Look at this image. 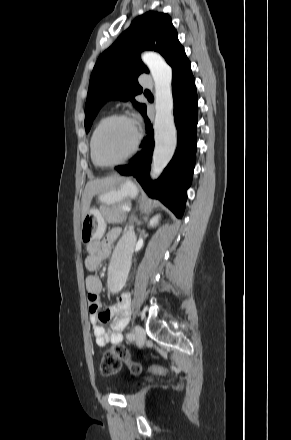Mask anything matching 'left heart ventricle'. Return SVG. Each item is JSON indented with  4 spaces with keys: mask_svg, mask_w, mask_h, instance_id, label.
<instances>
[{
    "mask_svg": "<svg viewBox=\"0 0 291 440\" xmlns=\"http://www.w3.org/2000/svg\"><path fill=\"white\" fill-rule=\"evenodd\" d=\"M134 140L133 127L128 121H109L101 128L97 136V156L103 162L119 161L131 150Z\"/></svg>",
    "mask_w": 291,
    "mask_h": 440,
    "instance_id": "left-heart-ventricle-1",
    "label": "left heart ventricle"
}]
</instances>
